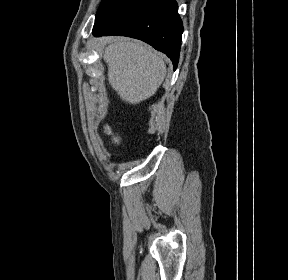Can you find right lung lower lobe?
Returning <instances> with one entry per match:
<instances>
[{
    "label": "right lung lower lobe",
    "instance_id": "right-lung-lower-lobe-1",
    "mask_svg": "<svg viewBox=\"0 0 288 280\" xmlns=\"http://www.w3.org/2000/svg\"><path fill=\"white\" fill-rule=\"evenodd\" d=\"M183 25L175 0H122L95 19L93 34L143 40L179 62Z\"/></svg>",
    "mask_w": 288,
    "mask_h": 280
}]
</instances>
